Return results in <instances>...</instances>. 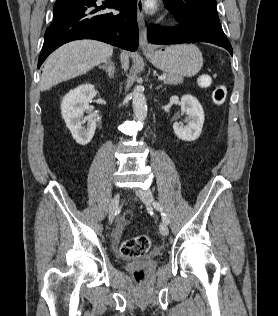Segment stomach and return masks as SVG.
<instances>
[{
  "label": "stomach",
  "mask_w": 278,
  "mask_h": 316,
  "mask_svg": "<svg viewBox=\"0 0 278 316\" xmlns=\"http://www.w3.org/2000/svg\"><path fill=\"white\" fill-rule=\"evenodd\" d=\"M147 59L163 72L192 77L203 66L200 50L195 45H174L146 54Z\"/></svg>",
  "instance_id": "obj_1"
}]
</instances>
